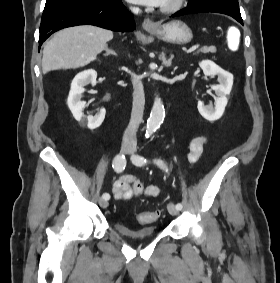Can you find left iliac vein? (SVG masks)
I'll return each mask as SVG.
<instances>
[{
	"label": "left iliac vein",
	"mask_w": 280,
	"mask_h": 283,
	"mask_svg": "<svg viewBox=\"0 0 280 283\" xmlns=\"http://www.w3.org/2000/svg\"><path fill=\"white\" fill-rule=\"evenodd\" d=\"M134 151L132 150L130 152V154H133ZM167 209H168V212L172 215V216H176L178 215L179 213V209L176 208V206L173 204V203H168L167 205Z\"/></svg>",
	"instance_id": "obj_1"
}]
</instances>
